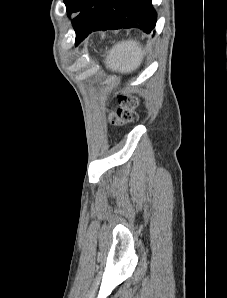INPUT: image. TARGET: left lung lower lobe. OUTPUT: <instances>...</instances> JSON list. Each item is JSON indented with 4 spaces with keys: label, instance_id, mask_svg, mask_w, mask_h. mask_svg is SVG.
<instances>
[{
    "label": "left lung lower lobe",
    "instance_id": "1",
    "mask_svg": "<svg viewBox=\"0 0 227 298\" xmlns=\"http://www.w3.org/2000/svg\"><path fill=\"white\" fill-rule=\"evenodd\" d=\"M156 19L151 0H107L92 31L135 27L150 33Z\"/></svg>",
    "mask_w": 227,
    "mask_h": 298
}]
</instances>
